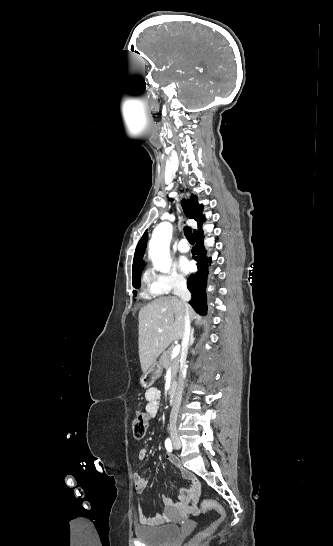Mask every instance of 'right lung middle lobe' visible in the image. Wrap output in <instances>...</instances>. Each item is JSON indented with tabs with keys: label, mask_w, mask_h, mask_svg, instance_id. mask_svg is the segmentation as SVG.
<instances>
[{
	"label": "right lung middle lobe",
	"mask_w": 333,
	"mask_h": 546,
	"mask_svg": "<svg viewBox=\"0 0 333 546\" xmlns=\"http://www.w3.org/2000/svg\"><path fill=\"white\" fill-rule=\"evenodd\" d=\"M133 286L135 288H139L140 287V277H139V274L136 275L135 277V281L133 282ZM136 291H133V293L135 294Z\"/></svg>",
	"instance_id": "1"
}]
</instances>
